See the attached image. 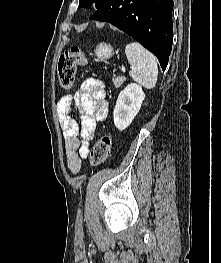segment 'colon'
Wrapping results in <instances>:
<instances>
[{
  "label": "colon",
  "mask_w": 221,
  "mask_h": 263,
  "mask_svg": "<svg viewBox=\"0 0 221 263\" xmlns=\"http://www.w3.org/2000/svg\"><path fill=\"white\" fill-rule=\"evenodd\" d=\"M86 62L87 59L83 50L78 47H72L70 50L62 53L58 59L57 66L60 86L64 89H70L75 80L77 67L85 65ZM111 146V136L104 135L99 138L90 152V163L92 165H99L106 161L110 155Z\"/></svg>",
  "instance_id": "1"
}]
</instances>
